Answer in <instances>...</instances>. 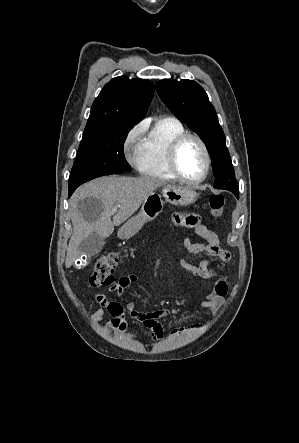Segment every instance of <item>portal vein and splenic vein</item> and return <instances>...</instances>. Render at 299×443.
Segmentation results:
<instances>
[{"instance_id": "18ae733b", "label": "portal vein and splenic vein", "mask_w": 299, "mask_h": 443, "mask_svg": "<svg viewBox=\"0 0 299 443\" xmlns=\"http://www.w3.org/2000/svg\"><path fill=\"white\" fill-rule=\"evenodd\" d=\"M115 212H117V208L112 209V211L110 213L114 214Z\"/></svg>"}]
</instances>
